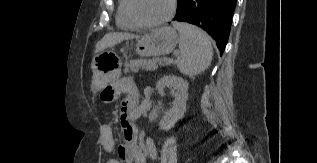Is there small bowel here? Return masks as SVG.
Here are the masks:
<instances>
[{
	"instance_id": "small-bowel-1",
	"label": "small bowel",
	"mask_w": 317,
	"mask_h": 163,
	"mask_svg": "<svg viewBox=\"0 0 317 163\" xmlns=\"http://www.w3.org/2000/svg\"><path fill=\"white\" fill-rule=\"evenodd\" d=\"M115 93L123 96L120 106V125L123 131L124 143L117 148V158H109L106 163H147V159L157 158V149L153 140L139 134L135 121L146 112V106L140 103V93L137 85L131 79H123L117 85ZM144 140V147L139 144ZM101 147L106 153L115 150L112 128L105 125L101 135Z\"/></svg>"
}]
</instances>
